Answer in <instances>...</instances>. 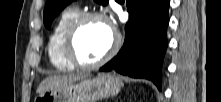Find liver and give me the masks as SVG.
<instances>
[{
    "label": "liver",
    "mask_w": 221,
    "mask_h": 102,
    "mask_svg": "<svg viewBox=\"0 0 221 102\" xmlns=\"http://www.w3.org/2000/svg\"><path fill=\"white\" fill-rule=\"evenodd\" d=\"M87 76L88 75H84V74H64V75L50 76L42 81V83L39 85L37 89V93L40 94L51 88L60 87L68 83L76 82Z\"/></svg>",
    "instance_id": "liver-1"
}]
</instances>
